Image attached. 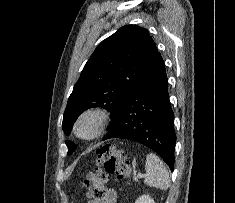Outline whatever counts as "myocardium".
<instances>
[{
    "label": "myocardium",
    "instance_id": "obj_1",
    "mask_svg": "<svg viewBox=\"0 0 235 203\" xmlns=\"http://www.w3.org/2000/svg\"><path fill=\"white\" fill-rule=\"evenodd\" d=\"M109 118H110L109 112L103 107L95 106L87 108L84 111H82L75 120L74 123L75 135L82 140H87V141L94 140L103 133V131L107 126ZM86 120H91L93 122V130L90 134L83 135L80 132V126Z\"/></svg>",
    "mask_w": 235,
    "mask_h": 203
}]
</instances>
